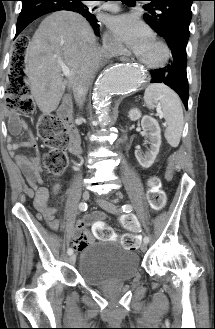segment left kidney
<instances>
[{
    "label": "left kidney",
    "mask_w": 215,
    "mask_h": 329,
    "mask_svg": "<svg viewBox=\"0 0 215 329\" xmlns=\"http://www.w3.org/2000/svg\"><path fill=\"white\" fill-rule=\"evenodd\" d=\"M129 118L131 121L139 120L141 118V112L138 109H131L129 111ZM141 126L143 131L147 134L146 138L150 143V149L144 155H142L140 150H136L135 156L143 168H149L152 166L159 153L161 145V130L158 122L148 115L142 117Z\"/></svg>",
    "instance_id": "left-kidney-1"
}]
</instances>
